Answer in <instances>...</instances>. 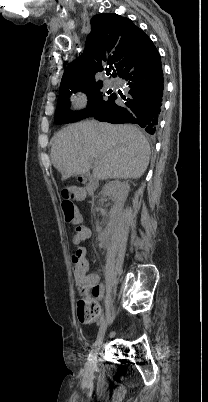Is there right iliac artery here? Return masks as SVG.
<instances>
[{
    "label": "right iliac artery",
    "mask_w": 208,
    "mask_h": 402,
    "mask_svg": "<svg viewBox=\"0 0 208 402\" xmlns=\"http://www.w3.org/2000/svg\"><path fill=\"white\" fill-rule=\"evenodd\" d=\"M104 314L101 315L99 325L101 326L104 323Z\"/></svg>",
    "instance_id": "obj_1"
}]
</instances>
